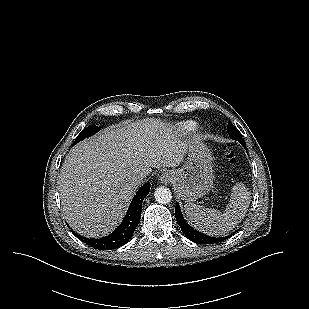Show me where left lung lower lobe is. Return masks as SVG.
<instances>
[{
    "mask_svg": "<svg viewBox=\"0 0 309 309\" xmlns=\"http://www.w3.org/2000/svg\"><path fill=\"white\" fill-rule=\"evenodd\" d=\"M244 147L246 146V143L244 140L239 141ZM175 216L176 220L184 233V235L192 242H195L197 244H215V243H220L226 240L227 238L231 237L233 234L225 237H209L206 236L196 230H194L189 224L186 223L185 219L182 216L180 207L178 203L176 202L175 206ZM237 232V231H235Z\"/></svg>",
    "mask_w": 309,
    "mask_h": 309,
    "instance_id": "0a47b994",
    "label": "left lung lower lobe"
}]
</instances>
